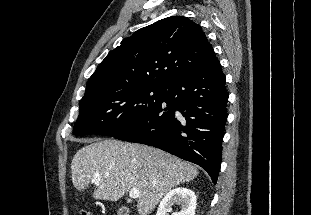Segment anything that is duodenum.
Masks as SVG:
<instances>
[{
    "label": "duodenum",
    "instance_id": "duodenum-1",
    "mask_svg": "<svg viewBox=\"0 0 311 215\" xmlns=\"http://www.w3.org/2000/svg\"><path fill=\"white\" fill-rule=\"evenodd\" d=\"M121 215H128V213H127V211H126L125 209H123V210L121 211Z\"/></svg>",
    "mask_w": 311,
    "mask_h": 215
}]
</instances>
